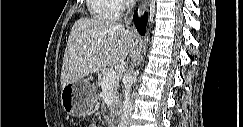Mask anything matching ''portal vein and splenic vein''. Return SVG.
<instances>
[{"mask_svg": "<svg viewBox=\"0 0 243 127\" xmlns=\"http://www.w3.org/2000/svg\"><path fill=\"white\" fill-rule=\"evenodd\" d=\"M120 75V70L115 69L108 74H106L103 78V87L110 86Z\"/></svg>", "mask_w": 243, "mask_h": 127, "instance_id": "obj_1", "label": "portal vein and splenic vein"}]
</instances>
